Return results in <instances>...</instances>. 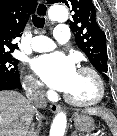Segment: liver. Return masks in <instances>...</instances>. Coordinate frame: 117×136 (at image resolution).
I'll use <instances>...</instances> for the list:
<instances>
[{"mask_svg": "<svg viewBox=\"0 0 117 136\" xmlns=\"http://www.w3.org/2000/svg\"><path fill=\"white\" fill-rule=\"evenodd\" d=\"M35 109L17 91H0V136H26Z\"/></svg>", "mask_w": 117, "mask_h": 136, "instance_id": "obj_1", "label": "liver"}]
</instances>
